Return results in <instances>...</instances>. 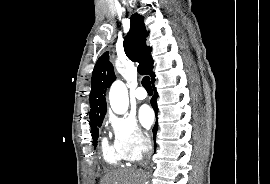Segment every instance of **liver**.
I'll return each instance as SVG.
<instances>
[{"mask_svg": "<svg viewBox=\"0 0 270 184\" xmlns=\"http://www.w3.org/2000/svg\"><path fill=\"white\" fill-rule=\"evenodd\" d=\"M143 173L138 170H118L106 174L100 184H142Z\"/></svg>", "mask_w": 270, "mask_h": 184, "instance_id": "6515ba94", "label": "liver"}]
</instances>
